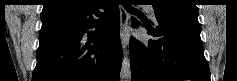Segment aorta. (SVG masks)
<instances>
[{"label":"aorta","instance_id":"obj_1","mask_svg":"<svg viewBox=\"0 0 237 81\" xmlns=\"http://www.w3.org/2000/svg\"><path fill=\"white\" fill-rule=\"evenodd\" d=\"M121 81H131V68H130V59L128 53H124L121 72H120Z\"/></svg>","mask_w":237,"mask_h":81}]
</instances>
